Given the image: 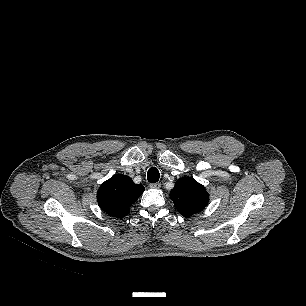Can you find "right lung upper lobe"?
I'll return each mask as SVG.
<instances>
[{
  "mask_svg": "<svg viewBox=\"0 0 306 306\" xmlns=\"http://www.w3.org/2000/svg\"><path fill=\"white\" fill-rule=\"evenodd\" d=\"M145 190L142 184H135L128 176L117 174L105 181L97 193L100 208L113 217H125L129 207Z\"/></svg>",
  "mask_w": 306,
  "mask_h": 306,
  "instance_id": "cb5924a9",
  "label": "right lung upper lobe"
}]
</instances>
